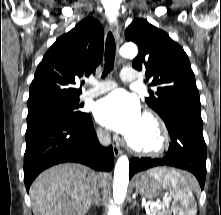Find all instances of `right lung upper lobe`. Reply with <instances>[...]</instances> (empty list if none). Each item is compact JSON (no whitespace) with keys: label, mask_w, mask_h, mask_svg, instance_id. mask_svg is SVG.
Returning <instances> with one entry per match:
<instances>
[{"label":"right lung upper lobe","mask_w":221,"mask_h":215,"mask_svg":"<svg viewBox=\"0 0 221 215\" xmlns=\"http://www.w3.org/2000/svg\"><path fill=\"white\" fill-rule=\"evenodd\" d=\"M103 27L87 17L44 55L29 89L28 107L79 99L78 78L94 74L103 58Z\"/></svg>","instance_id":"cb5924a9"}]
</instances>
